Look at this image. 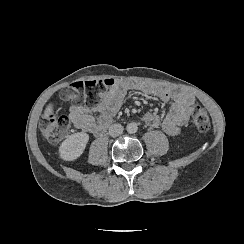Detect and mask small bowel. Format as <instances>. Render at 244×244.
<instances>
[{
	"mask_svg": "<svg viewBox=\"0 0 244 244\" xmlns=\"http://www.w3.org/2000/svg\"><path fill=\"white\" fill-rule=\"evenodd\" d=\"M133 92L152 95L163 102H171L163 119L157 113L147 112L143 120L152 128L161 126L166 134L173 137L179 135L182 126L189 120L196 102L195 96L185 89L149 81L120 79L109 86L94 107L83 103L72 105L70 119L77 129L94 136L101 135L112 122L122 102ZM95 112L99 113L98 118L94 117Z\"/></svg>",
	"mask_w": 244,
	"mask_h": 244,
	"instance_id": "small-bowel-1",
	"label": "small bowel"
}]
</instances>
